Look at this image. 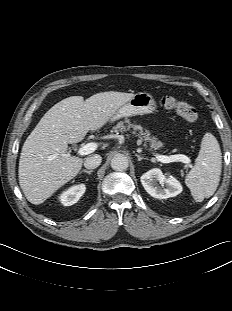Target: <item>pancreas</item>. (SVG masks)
<instances>
[{
  "label": "pancreas",
  "instance_id": "obj_1",
  "mask_svg": "<svg viewBox=\"0 0 232 311\" xmlns=\"http://www.w3.org/2000/svg\"><path fill=\"white\" fill-rule=\"evenodd\" d=\"M132 129V134L139 138V142H149L151 148L158 149L163 146L155 137L150 136L149 131H144L141 125L131 123L129 119L118 122L113 128L112 132H127Z\"/></svg>",
  "mask_w": 232,
  "mask_h": 311
}]
</instances>
